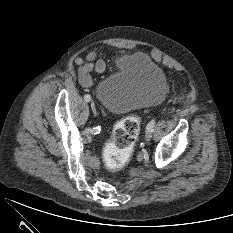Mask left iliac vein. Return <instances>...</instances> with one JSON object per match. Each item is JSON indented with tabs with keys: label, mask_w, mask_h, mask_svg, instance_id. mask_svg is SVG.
Masks as SVG:
<instances>
[{
	"label": "left iliac vein",
	"mask_w": 233,
	"mask_h": 233,
	"mask_svg": "<svg viewBox=\"0 0 233 233\" xmlns=\"http://www.w3.org/2000/svg\"><path fill=\"white\" fill-rule=\"evenodd\" d=\"M151 138H152V131L147 130V131H146V134H145V140H146V141H150Z\"/></svg>",
	"instance_id": "4c4485c4"
}]
</instances>
